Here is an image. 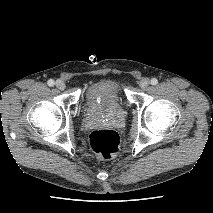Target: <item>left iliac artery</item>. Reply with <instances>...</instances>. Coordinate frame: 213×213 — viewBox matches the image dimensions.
Wrapping results in <instances>:
<instances>
[{
    "mask_svg": "<svg viewBox=\"0 0 213 213\" xmlns=\"http://www.w3.org/2000/svg\"><path fill=\"white\" fill-rule=\"evenodd\" d=\"M151 84L152 85H157L158 84V80L156 78H152L151 79Z\"/></svg>",
    "mask_w": 213,
    "mask_h": 213,
    "instance_id": "44dca946",
    "label": "left iliac artery"
}]
</instances>
